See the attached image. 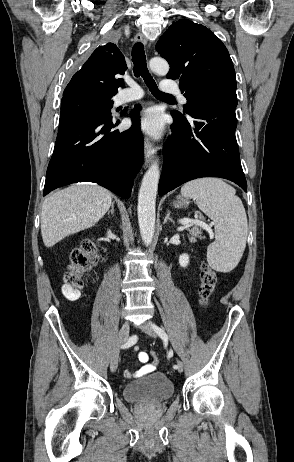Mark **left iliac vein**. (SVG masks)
I'll use <instances>...</instances> for the list:
<instances>
[{
    "mask_svg": "<svg viewBox=\"0 0 294 462\" xmlns=\"http://www.w3.org/2000/svg\"><path fill=\"white\" fill-rule=\"evenodd\" d=\"M142 331H144L146 334H148L151 337H156V332L150 322H145L144 324L141 325ZM177 370L179 372L183 371V364L181 361H177Z\"/></svg>",
    "mask_w": 294,
    "mask_h": 462,
    "instance_id": "4c4485c4",
    "label": "left iliac vein"
}]
</instances>
